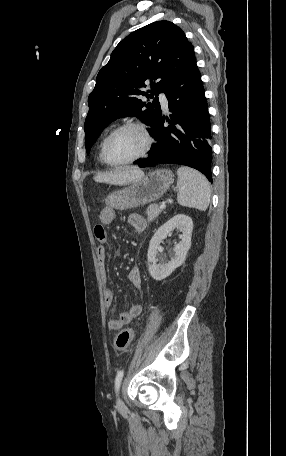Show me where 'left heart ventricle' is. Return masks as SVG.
<instances>
[{
	"label": "left heart ventricle",
	"mask_w": 286,
	"mask_h": 456,
	"mask_svg": "<svg viewBox=\"0 0 286 456\" xmlns=\"http://www.w3.org/2000/svg\"><path fill=\"white\" fill-rule=\"evenodd\" d=\"M145 137L137 128L118 132L108 145L107 154L113 162H123L139 155L145 147Z\"/></svg>",
	"instance_id": "b2bd125f"
}]
</instances>
